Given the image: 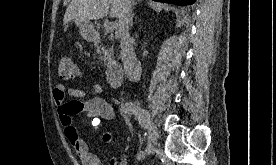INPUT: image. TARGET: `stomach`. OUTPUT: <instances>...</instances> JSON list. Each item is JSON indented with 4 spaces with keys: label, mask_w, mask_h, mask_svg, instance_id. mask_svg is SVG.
I'll list each match as a JSON object with an SVG mask.
<instances>
[{
    "label": "stomach",
    "mask_w": 276,
    "mask_h": 165,
    "mask_svg": "<svg viewBox=\"0 0 276 165\" xmlns=\"http://www.w3.org/2000/svg\"><path fill=\"white\" fill-rule=\"evenodd\" d=\"M80 30L81 36L87 41H93L96 37V31L92 23L88 20H75L74 21Z\"/></svg>",
    "instance_id": "0dacf381"
}]
</instances>
